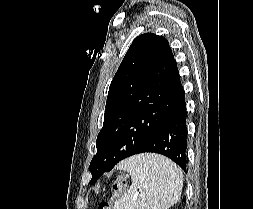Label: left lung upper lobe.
I'll list each match as a JSON object with an SVG mask.
<instances>
[{
  "label": "left lung upper lobe",
  "instance_id": "1",
  "mask_svg": "<svg viewBox=\"0 0 253 209\" xmlns=\"http://www.w3.org/2000/svg\"><path fill=\"white\" fill-rule=\"evenodd\" d=\"M181 87L168 41L153 33L135 38L109 87L90 183L143 146L170 114Z\"/></svg>",
  "mask_w": 253,
  "mask_h": 209
}]
</instances>
